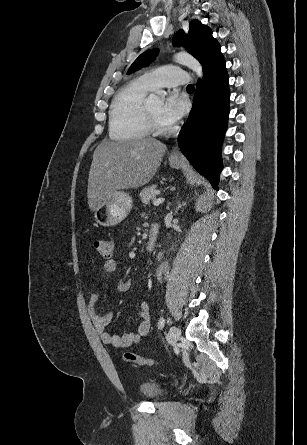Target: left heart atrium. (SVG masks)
Returning a JSON list of instances; mask_svg holds the SVG:
<instances>
[{"label":"left heart atrium","instance_id":"left-heart-atrium-1","mask_svg":"<svg viewBox=\"0 0 307 445\" xmlns=\"http://www.w3.org/2000/svg\"><path fill=\"white\" fill-rule=\"evenodd\" d=\"M186 111L185 100L175 91L169 92L163 102L161 117L163 121L171 125L178 121Z\"/></svg>","mask_w":307,"mask_h":445}]
</instances>
